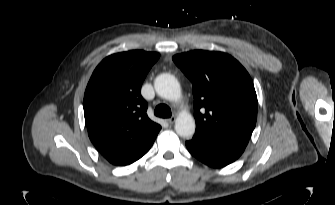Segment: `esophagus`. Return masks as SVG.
Wrapping results in <instances>:
<instances>
[{"label": "esophagus", "mask_w": 335, "mask_h": 205, "mask_svg": "<svg viewBox=\"0 0 335 205\" xmlns=\"http://www.w3.org/2000/svg\"><path fill=\"white\" fill-rule=\"evenodd\" d=\"M176 121V117L172 116L171 118L167 119V122L172 125Z\"/></svg>", "instance_id": "1"}]
</instances>
